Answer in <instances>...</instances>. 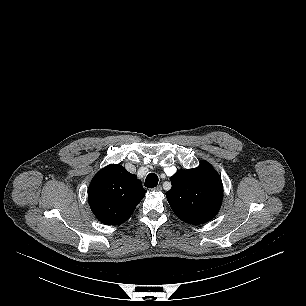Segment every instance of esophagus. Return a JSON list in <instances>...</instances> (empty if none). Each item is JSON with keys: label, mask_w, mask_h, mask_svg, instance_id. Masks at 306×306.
Instances as JSON below:
<instances>
[{"label": "esophagus", "mask_w": 306, "mask_h": 306, "mask_svg": "<svg viewBox=\"0 0 306 306\" xmlns=\"http://www.w3.org/2000/svg\"><path fill=\"white\" fill-rule=\"evenodd\" d=\"M152 190L155 191V192H160L162 190V187L159 185L155 188H152Z\"/></svg>", "instance_id": "1"}]
</instances>
